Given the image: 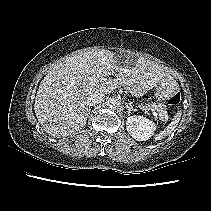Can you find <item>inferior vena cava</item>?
<instances>
[{
  "label": "inferior vena cava",
  "instance_id": "1",
  "mask_svg": "<svg viewBox=\"0 0 211 211\" xmlns=\"http://www.w3.org/2000/svg\"><path fill=\"white\" fill-rule=\"evenodd\" d=\"M104 97H105V94L102 92L95 93V94L91 95L90 97H88L87 103L89 106L96 105V104L102 102Z\"/></svg>",
  "mask_w": 211,
  "mask_h": 211
}]
</instances>
